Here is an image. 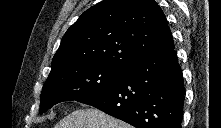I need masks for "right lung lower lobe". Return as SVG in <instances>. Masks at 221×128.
<instances>
[{
    "mask_svg": "<svg viewBox=\"0 0 221 128\" xmlns=\"http://www.w3.org/2000/svg\"><path fill=\"white\" fill-rule=\"evenodd\" d=\"M184 95L173 48L136 62L117 82L79 102L136 128H181Z\"/></svg>",
    "mask_w": 221,
    "mask_h": 128,
    "instance_id": "right-lung-lower-lobe-1",
    "label": "right lung lower lobe"
}]
</instances>
